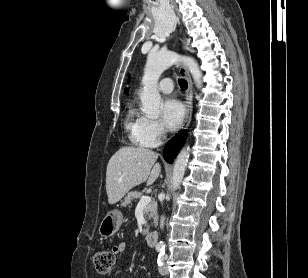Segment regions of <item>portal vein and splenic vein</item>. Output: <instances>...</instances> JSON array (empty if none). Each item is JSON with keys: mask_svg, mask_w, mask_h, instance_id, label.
I'll return each mask as SVG.
<instances>
[{"mask_svg": "<svg viewBox=\"0 0 308 278\" xmlns=\"http://www.w3.org/2000/svg\"><path fill=\"white\" fill-rule=\"evenodd\" d=\"M151 202V197L150 196H142L141 198H140V201H139V203H138V206H140V205H147V204H149Z\"/></svg>", "mask_w": 308, "mask_h": 278, "instance_id": "obj_1", "label": "portal vein and splenic vein"}]
</instances>
